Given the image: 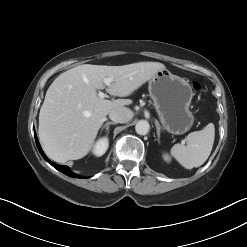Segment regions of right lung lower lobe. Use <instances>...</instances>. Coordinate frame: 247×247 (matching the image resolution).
Segmentation results:
<instances>
[{
  "instance_id": "obj_1",
  "label": "right lung lower lobe",
  "mask_w": 247,
  "mask_h": 247,
  "mask_svg": "<svg viewBox=\"0 0 247 247\" xmlns=\"http://www.w3.org/2000/svg\"><path fill=\"white\" fill-rule=\"evenodd\" d=\"M35 140H36V145H37V148L39 150V152L41 153V155L43 156V158L49 162L54 168H56L57 170L61 171L62 173L70 176V177H73V178H83L75 173H73L67 166H63V165H57V164H54L53 162H51L47 157L46 155L43 153L41 147H40V144L37 140V137H36V134H35Z\"/></svg>"
}]
</instances>
